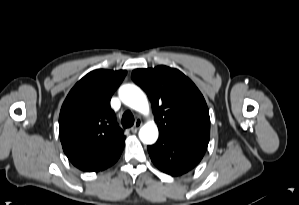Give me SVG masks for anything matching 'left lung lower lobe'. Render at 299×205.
<instances>
[{"instance_id":"1","label":"left lung lower lobe","mask_w":299,"mask_h":205,"mask_svg":"<svg viewBox=\"0 0 299 205\" xmlns=\"http://www.w3.org/2000/svg\"><path fill=\"white\" fill-rule=\"evenodd\" d=\"M208 141L178 136L159 137L148 146L154 165L172 176L182 175L193 169L202 159Z\"/></svg>"}]
</instances>
